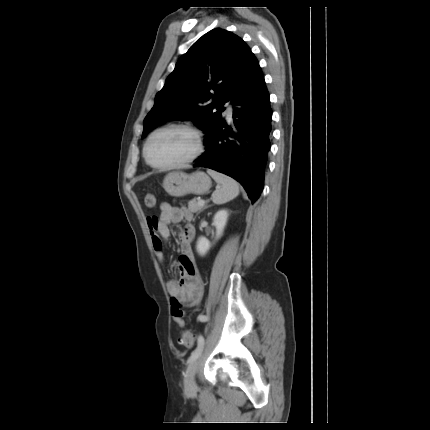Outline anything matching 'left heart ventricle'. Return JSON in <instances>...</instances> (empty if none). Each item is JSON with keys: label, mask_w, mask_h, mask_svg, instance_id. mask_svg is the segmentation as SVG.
<instances>
[{"label": "left heart ventricle", "mask_w": 430, "mask_h": 430, "mask_svg": "<svg viewBox=\"0 0 430 430\" xmlns=\"http://www.w3.org/2000/svg\"><path fill=\"white\" fill-rule=\"evenodd\" d=\"M195 137L182 129H170L157 135L149 146V157L159 165L180 162L195 150Z\"/></svg>", "instance_id": "obj_1"}]
</instances>
